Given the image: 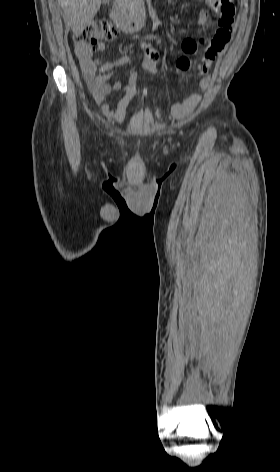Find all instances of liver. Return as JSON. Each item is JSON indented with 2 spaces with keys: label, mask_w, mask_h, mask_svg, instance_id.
I'll use <instances>...</instances> for the list:
<instances>
[{
  "label": "liver",
  "mask_w": 280,
  "mask_h": 472,
  "mask_svg": "<svg viewBox=\"0 0 280 472\" xmlns=\"http://www.w3.org/2000/svg\"><path fill=\"white\" fill-rule=\"evenodd\" d=\"M65 20L74 34H80L92 21L101 6V0H59Z\"/></svg>",
  "instance_id": "obj_1"
}]
</instances>
